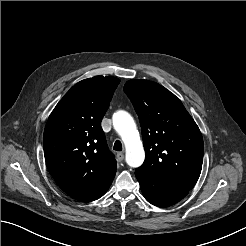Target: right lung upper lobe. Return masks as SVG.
<instances>
[{
    "label": "right lung upper lobe",
    "instance_id": "cb5924a9",
    "mask_svg": "<svg viewBox=\"0 0 246 246\" xmlns=\"http://www.w3.org/2000/svg\"><path fill=\"white\" fill-rule=\"evenodd\" d=\"M120 80L95 76L78 82L47 121L43 147L47 168L67 194L105 192L116 173L101 121Z\"/></svg>",
    "mask_w": 246,
    "mask_h": 246
}]
</instances>
